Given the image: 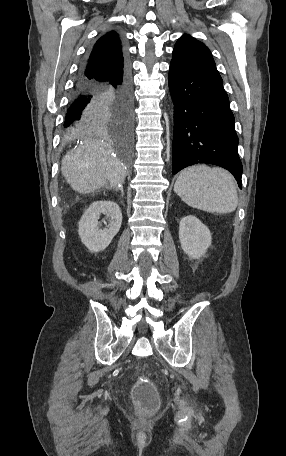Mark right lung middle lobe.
I'll return each mask as SVG.
<instances>
[{
  "label": "right lung middle lobe",
  "instance_id": "dd1d6c3e",
  "mask_svg": "<svg viewBox=\"0 0 286 456\" xmlns=\"http://www.w3.org/2000/svg\"><path fill=\"white\" fill-rule=\"evenodd\" d=\"M131 138H132V133H131V137H130V139H129L128 141H125V140H123L122 138H120V139H121L122 142H124L125 144H130Z\"/></svg>",
  "mask_w": 286,
  "mask_h": 456
}]
</instances>
